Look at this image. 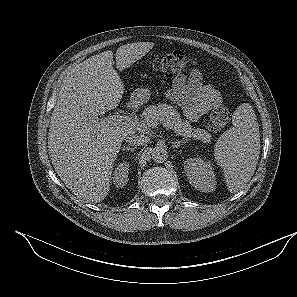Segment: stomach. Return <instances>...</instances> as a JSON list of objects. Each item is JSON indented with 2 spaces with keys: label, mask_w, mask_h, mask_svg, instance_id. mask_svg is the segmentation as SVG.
Listing matches in <instances>:
<instances>
[{
  "label": "stomach",
  "mask_w": 297,
  "mask_h": 297,
  "mask_svg": "<svg viewBox=\"0 0 297 297\" xmlns=\"http://www.w3.org/2000/svg\"><path fill=\"white\" fill-rule=\"evenodd\" d=\"M151 92L146 88H138L133 91L131 99L136 104H143L150 99Z\"/></svg>",
  "instance_id": "obj_1"
}]
</instances>
